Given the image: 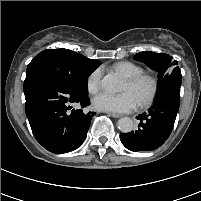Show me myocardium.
I'll use <instances>...</instances> for the list:
<instances>
[{"label":"myocardium","instance_id":"obj_1","mask_svg":"<svg viewBox=\"0 0 201 201\" xmlns=\"http://www.w3.org/2000/svg\"><path fill=\"white\" fill-rule=\"evenodd\" d=\"M126 82L130 86H137L143 82H147L149 84V91L147 95L138 102V105L140 107H147L154 102L159 88L158 80L154 75L142 72L126 78Z\"/></svg>","mask_w":201,"mask_h":201}]
</instances>
